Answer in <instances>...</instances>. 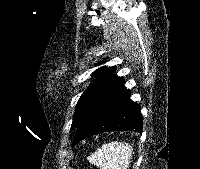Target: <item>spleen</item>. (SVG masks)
I'll use <instances>...</instances> for the list:
<instances>
[{"mask_svg": "<svg viewBox=\"0 0 200 169\" xmlns=\"http://www.w3.org/2000/svg\"><path fill=\"white\" fill-rule=\"evenodd\" d=\"M133 155V146L124 142L103 144L88 157L90 163L100 169H127Z\"/></svg>", "mask_w": 200, "mask_h": 169, "instance_id": "1", "label": "spleen"}]
</instances>
